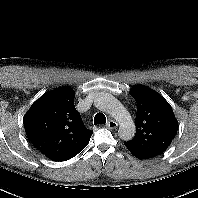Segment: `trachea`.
<instances>
[{
  "label": "trachea",
  "instance_id": "3493384b",
  "mask_svg": "<svg viewBox=\"0 0 198 198\" xmlns=\"http://www.w3.org/2000/svg\"><path fill=\"white\" fill-rule=\"evenodd\" d=\"M106 117L102 113H97L94 117V125L105 124Z\"/></svg>",
  "mask_w": 198,
  "mask_h": 198
}]
</instances>
